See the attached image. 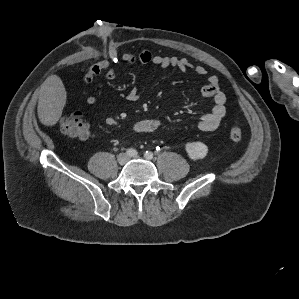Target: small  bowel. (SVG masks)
<instances>
[{
  "label": "small bowel",
  "instance_id": "c3829d8e",
  "mask_svg": "<svg viewBox=\"0 0 299 299\" xmlns=\"http://www.w3.org/2000/svg\"><path fill=\"white\" fill-rule=\"evenodd\" d=\"M120 60L133 65V64H143L147 66H157V67H175L182 72L193 71L199 75H206L207 70L201 65H195L191 63L187 58L175 57V56H164L155 55L147 49L141 50L138 54L124 53ZM119 58L110 57L102 59L101 61L93 64L89 67L84 75V81L86 83H92L96 77H98L103 72L108 80H113L116 77V69L113 64L117 63ZM200 93L202 96L213 99L212 109L203 114L198 122V129L204 132L215 130L221 123L222 119L226 115V95L221 91L219 86L218 77L216 75H209L207 78V83L200 88ZM85 101L88 104H94L96 97L89 92H84ZM139 98V93L137 87H132L128 93V99L131 101H136ZM160 125L159 120L155 118H145L137 121L134 124L133 130L136 133H150L155 131Z\"/></svg>",
  "mask_w": 299,
  "mask_h": 299
}]
</instances>
